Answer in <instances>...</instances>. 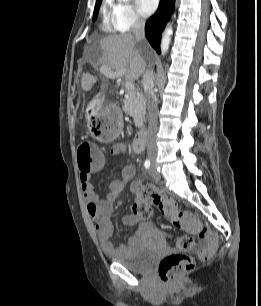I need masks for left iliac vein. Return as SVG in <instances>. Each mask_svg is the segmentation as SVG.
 Returning <instances> with one entry per match:
<instances>
[{
  "label": "left iliac vein",
  "instance_id": "obj_1",
  "mask_svg": "<svg viewBox=\"0 0 261 306\" xmlns=\"http://www.w3.org/2000/svg\"><path fill=\"white\" fill-rule=\"evenodd\" d=\"M150 175L155 181L160 180V174L156 171L155 165L152 164L151 169H150Z\"/></svg>",
  "mask_w": 261,
  "mask_h": 306
}]
</instances>
